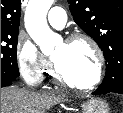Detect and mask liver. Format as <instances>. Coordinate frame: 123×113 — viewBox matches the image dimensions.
Here are the masks:
<instances>
[{"instance_id": "1", "label": "liver", "mask_w": 123, "mask_h": 113, "mask_svg": "<svg viewBox=\"0 0 123 113\" xmlns=\"http://www.w3.org/2000/svg\"><path fill=\"white\" fill-rule=\"evenodd\" d=\"M64 95L36 93L16 87L1 88V113H47Z\"/></svg>"}]
</instances>
